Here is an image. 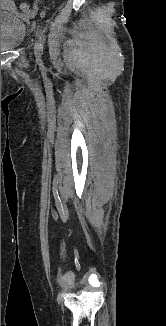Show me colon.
Here are the masks:
<instances>
[{"label": "colon", "mask_w": 166, "mask_h": 326, "mask_svg": "<svg viewBox=\"0 0 166 326\" xmlns=\"http://www.w3.org/2000/svg\"><path fill=\"white\" fill-rule=\"evenodd\" d=\"M20 9H21L22 13H23L26 17L31 16L32 13H33L32 8H31L27 3H22V4L20 5Z\"/></svg>", "instance_id": "colon-1"}]
</instances>
